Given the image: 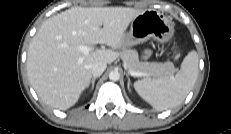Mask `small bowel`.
Listing matches in <instances>:
<instances>
[{
    "instance_id": "1",
    "label": "small bowel",
    "mask_w": 231,
    "mask_h": 134,
    "mask_svg": "<svg viewBox=\"0 0 231 134\" xmlns=\"http://www.w3.org/2000/svg\"><path fill=\"white\" fill-rule=\"evenodd\" d=\"M150 54H151L150 50H146V51H144L143 56L144 57H149Z\"/></svg>"
}]
</instances>
